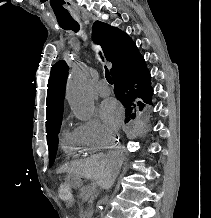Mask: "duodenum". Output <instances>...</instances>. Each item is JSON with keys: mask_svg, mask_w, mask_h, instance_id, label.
<instances>
[{"mask_svg": "<svg viewBox=\"0 0 211 218\" xmlns=\"http://www.w3.org/2000/svg\"><path fill=\"white\" fill-rule=\"evenodd\" d=\"M85 215H86L87 218H92L93 209H87Z\"/></svg>", "mask_w": 211, "mask_h": 218, "instance_id": "obj_1", "label": "duodenum"}]
</instances>
